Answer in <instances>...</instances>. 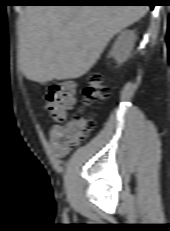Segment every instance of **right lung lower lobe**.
Instances as JSON below:
<instances>
[{"instance_id":"right-lung-lower-lobe-1","label":"right lung lower lobe","mask_w":170,"mask_h":231,"mask_svg":"<svg viewBox=\"0 0 170 231\" xmlns=\"http://www.w3.org/2000/svg\"><path fill=\"white\" fill-rule=\"evenodd\" d=\"M32 4L51 5H149L155 6V0H28Z\"/></svg>"}]
</instances>
